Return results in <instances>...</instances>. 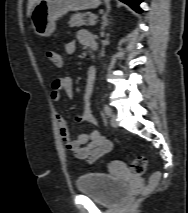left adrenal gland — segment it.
I'll return each mask as SVG.
<instances>
[{
  "instance_id": "obj_1",
  "label": "left adrenal gland",
  "mask_w": 188,
  "mask_h": 213,
  "mask_svg": "<svg viewBox=\"0 0 188 213\" xmlns=\"http://www.w3.org/2000/svg\"><path fill=\"white\" fill-rule=\"evenodd\" d=\"M108 12L104 13L102 16V23H101V29H105V27L109 24V20L107 18Z\"/></svg>"
}]
</instances>
